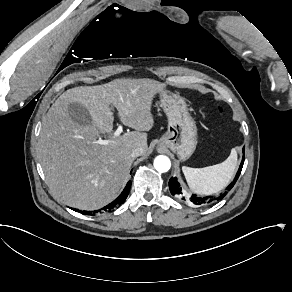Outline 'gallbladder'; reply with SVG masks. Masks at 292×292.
Here are the masks:
<instances>
[{"label": "gallbladder", "mask_w": 292, "mask_h": 292, "mask_svg": "<svg viewBox=\"0 0 292 292\" xmlns=\"http://www.w3.org/2000/svg\"><path fill=\"white\" fill-rule=\"evenodd\" d=\"M67 112L71 120L78 124H88L92 120L88 109L78 102L69 103Z\"/></svg>", "instance_id": "gallbladder-1"}]
</instances>
